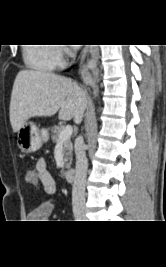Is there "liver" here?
<instances>
[{
    "label": "liver",
    "mask_w": 166,
    "mask_h": 267,
    "mask_svg": "<svg viewBox=\"0 0 166 267\" xmlns=\"http://www.w3.org/2000/svg\"><path fill=\"white\" fill-rule=\"evenodd\" d=\"M87 98L70 78L33 70L20 71L14 81L10 101V122L14 132L32 117L53 116L60 120H82Z\"/></svg>",
    "instance_id": "6515ba94"
}]
</instances>
